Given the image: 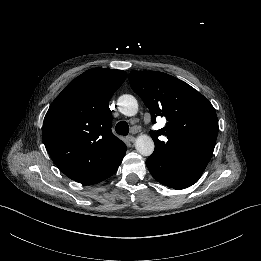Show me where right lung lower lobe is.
Instances as JSON below:
<instances>
[{
    "instance_id": "obj_1",
    "label": "right lung lower lobe",
    "mask_w": 261,
    "mask_h": 261,
    "mask_svg": "<svg viewBox=\"0 0 261 261\" xmlns=\"http://www.w3.org/2000/svg\"><path fill=\"white\" fill-rule=\"evenodd\" d=\"M122 159H123V158H122ZM122 159L119 160L118 162H116L115 165H113V166H112L109 170H107L106 172H104V173H102V174H100V175L94 177L93 179H91V180H89V181H87V182H85V183H83V184H85V185H91V184L99 183V182H101V181L107 179L108 177H110L111 175H113V174L116 172L118 166H119V165L121 164V162H122Z\"/></svg>"
}]
</instances>
